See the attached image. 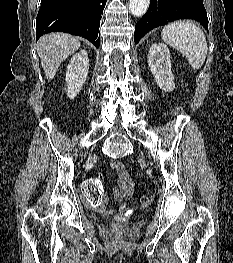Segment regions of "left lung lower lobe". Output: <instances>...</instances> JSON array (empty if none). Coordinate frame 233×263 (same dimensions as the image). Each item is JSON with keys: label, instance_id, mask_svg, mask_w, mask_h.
<instances>
[{"label": "left lung lower lobe", "instance_id": "0a47b994", "mask_svg": "<svg viewBox=\"0 0 233 263\" xmlns=\"http://www.w3.org/2000/svg\"><path fill=\"white\" fill-rule=\"evenodd\" d=\"M178 19L197 20L208 30L203 0H150L148 11L135 26V43L153 28Z\"/></svg>", "mask_w": 233, "mask_h": 263}]
</instances>
